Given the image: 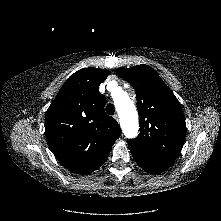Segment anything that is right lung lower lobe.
<instances>
[{"instance_id":"obj_1","label":"right lung lower lobe","mask_w":221,"mask_h":221,"mask_svg":"<svg viewBox=\"0 0 221 221\" xmlns=\"http://www.w3.org/2000/svg\"><path fill=\"white\" fill-rule=\"evenodd\" d=\"M105 160H106V159H105ZM105 160H104V161H105ZM104 161H103L102 163H100L96 168H94V169H92V170H90V171H88V172L83 173V175L89 174V173L93 172V171L96 170L98 167H100V166L104 163Z\"/></svg>"}]
</instances>
